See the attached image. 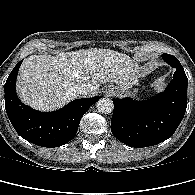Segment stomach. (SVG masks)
<instances>
[{
	"label": "stomach",
	"instance_id": "stomach-1",
	"mask_svg": "<svg viewBox=\"0 0 195 195\" xmlns=\"http://www.w3.org/2000/svg\"><path fill=\"white\" fill-rule=\"evenodd\" d=\"M115 93L117 95H120V96L126 95V94L136 95L137 94V89L134 88L130 91H127L126 89H123L120 86H115Z\"/></svg>",
	"mask_w": 195,
	"mask_h": 195
}]
</instances>
